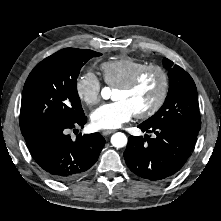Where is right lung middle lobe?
<instances>
[{
    "instance_id": "right-lung-middle-lobe-1",
    "label": "right lung middle lobe",
    "mask_w": 221,
    "mask_h": 221,
    "mask_svg": "<svg viewBox=\"0 0 221 221\" xmlns=\"http://www.w3.org/2000/svg\"><path fill=\"white\" fill-rule=\"evenodd\" d=\"M101 53L65 48L47 57L32 70L22 93V135L53 123L73 122L84 115L77 92L82 66Z\"/></svg>"
}]
</instances>
